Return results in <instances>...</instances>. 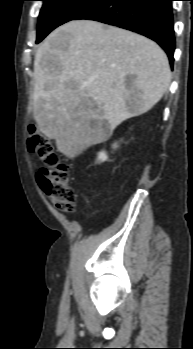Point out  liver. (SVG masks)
Here are the masks:
<instances>
[{"label": "liver", "mask_w": 193, "mask_h": 349, "mask_svg": "<svg viewBox=\"0 0 193 349\" xmlns=\"http://www.w3.org/2000/svg\"><path fill=\"white\" fill-rule=\"evenodd\" d=\"M33 115L69 158L106 141L123 121L148 112L171 81L165 52L118 27L73 20L55 29L34 60Z\"/></svg>", "instance_id": "liver-1"}]
</instances>
